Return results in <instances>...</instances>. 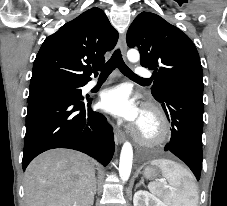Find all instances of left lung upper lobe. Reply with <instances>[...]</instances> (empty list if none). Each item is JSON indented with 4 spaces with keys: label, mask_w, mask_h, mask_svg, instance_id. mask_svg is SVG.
<instances>
[{
    "label": "left lung upper lobe",
    "mask_w": 227,
    "mask_h": 206,
    "mask_svg": "<svg viewBox=\"0 0 227 206\" xmlns=\"http://www.w3.org/2000/svg\"><path fill=\"white\" fill-rule=\"evenodd\" d=\"M127 44L138 47L141 66L154 70L152 95L157 101L171 93L203 95V73L191 39L162 17L140 13L127 32Z\"/></svg>",
    "instance_id": "obj_1"
}]
</instances>
